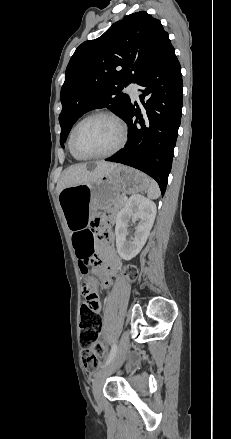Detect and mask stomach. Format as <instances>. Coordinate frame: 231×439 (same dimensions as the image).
<instances>
[{
    "label": "stomach",
    "mask_w": 231,
    "mask_h": 439,
    "mask_svg": "<svg viewBox=\"0 0 231 439\" xmlns=\"http://www.w3.org/2000/svg\"><path fill=\"white\" fill-rule=\"evenodd\" d=\"M150 179L140 171L118 165L109 173L87 184L73 185L59 193V203L71 230L89 225L97 209H108L120 193L145 191Z\"/></svg>",
    "instance_id": "stomach-1"
}]
</instances>
